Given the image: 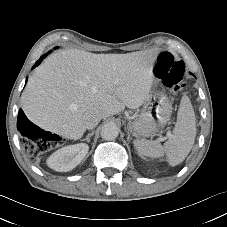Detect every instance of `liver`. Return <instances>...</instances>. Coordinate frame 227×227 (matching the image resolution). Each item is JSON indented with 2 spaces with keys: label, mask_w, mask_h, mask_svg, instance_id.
<instances>
[{
  "label": "liver",
  "mask_w": 227,
  "mask_h": 227,
  "mask_svg": "<svg viewBox=\"0 0 227 227\" xmlns=\"http://www.w3.org/2000/svg\"><path fill=\"white\" fill-rule=\"evenodd\" d=\"M152 50L93 54L72 49L47 57L30 77L21 97L27 118L46 131L78 140L88 114L102 118L125 106L140 107L154 82Z\"/></svg>",
  "instance_id": "liver-1"
}]
</instances>
